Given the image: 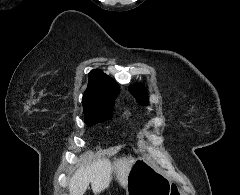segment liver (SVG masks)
<instances>
[{
	"label": "liver",
	"mask_w": 240,
	"mask_h": 195,
	"mask_svg": "<svg viewBox=\"0 0 240 195\" xmlns=\"http://www.w3.org/2000/svg\"><path fill=\"white\" fill-rule=\"evenodd\" d=\"M132 161L131 155L119 157L115 161L102 157V159H97L92 163L80 165L69 181L70 195H83L89 183H91L94 195H97L109 187L113 175L118 179L120 185L125 187Z\"/></svg>",
	"instance_id": "6515ba94"
}]
</instances>
